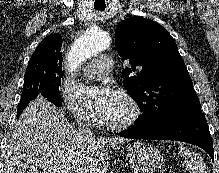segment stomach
<instances>
[{"label":"stomach","mask_w":219,"mask_h":173,"mask_svg":"<svg viewBox=\"0 0 219 173\" xmlns=\"http://www.w3.org/2000/svg\"><path fill=\"white\" fill-rule=\"evenodd\" d=\"M126 157L134 173H155L163 162L159 150L146 142H135L130 145Z\"/></svg>","instance_id":"obj_1"}]
</instances>
